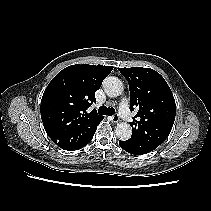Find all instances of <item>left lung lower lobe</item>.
<instances>
[{
	"label": "left lung lower lobe",
	"instance_id": "obj_1",
	"mask_svg": "<svg viewBox=\"0 0 211 211\" xmlns=\"http://www.w3.org/2000/svg\"><path fill=\"white\" fill-rule=\"evenodd\" d=\"M119 145L121 148H123L125 151L135 154V155H141L146 154L154 150V148H151L144 144H134L130 141H119Z\"/></svg>",
	"mask_w": 211,
	"mask_h": 211
}]
</instances>
